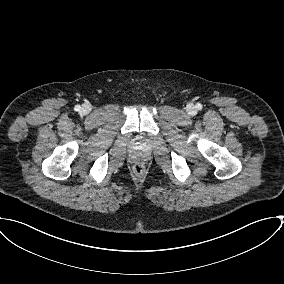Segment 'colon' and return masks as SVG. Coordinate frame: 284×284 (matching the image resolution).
Returning <instances> with one entry per match:
<instances>
[{
	"label": "colon",
	"instance_id": "obj_1",
	"mask_svg": "<svg viewBox=\"0 0 284 284\" xmlns=\"http://www.w3.org/2000/svg\"><path fill=\"white\" fill-rule=\"evenodd\" d=\"M133 170L136 174H142L144 171V166L141 163H137L134 165Z\"/></svg>",
	"mask_w": 284,
	"mask_h": 284
}]
</instances>
